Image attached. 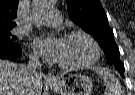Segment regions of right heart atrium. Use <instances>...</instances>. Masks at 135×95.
<instances>
[{
	"mask_svg": "<svg viewBox=\"0 0 135 95\" xmlns=\"http://www.w3.org/2000/svg\"><path fill=\"white\" fill-rule=\"evenodd\" d=\"M31 57L35 58L36 57V54H31Z\"/></svg>",
	"mask_w": 135,
	"mask_h": 95,
	"instance_id": "d8ad5b80",
	"label": "right heart atrium"
}]
</instances>
